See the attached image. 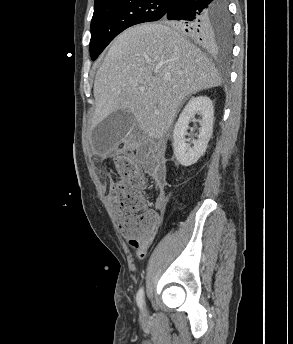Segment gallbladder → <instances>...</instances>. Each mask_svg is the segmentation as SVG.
<instances>
[{
    "label": "gallbladder",
    "mask_w": 293,
    "mask_h": 344,
    "mask_svg": "<svg viewBox=\"0 0 293 344\" xmlns=\"http://www.w3.org/2000/svg\"><path fill=\"white\" fill-rule=\"evenodd\" d=\"M134 122V115L126 110H116L108 115L92 132V144L96 152L110 151L123 139Z\"/></svg>",
    "instance_id": "obj_1"
}]
</instances>
